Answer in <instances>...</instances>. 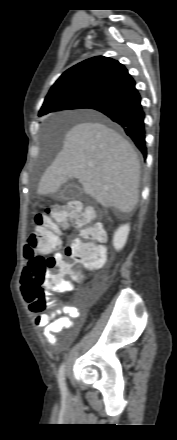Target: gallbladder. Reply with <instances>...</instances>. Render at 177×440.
Masks as SVG:
<instances>
[{
    "label": "gallbladder",
    "mask_w": 177,
    "mask_h": 440,
    "mask_svg": "<svg viewBox=\"0 0 177 440\" xmlns=\"http://www.w3.org/2000/svg\"><path fill=\"white\" fill-rule=\"evenodd\" d=\"M83 194L82 188L75 183L67 184L64 189L56 196H53L55 200H73L81 197Z\"/></svg>",
    "instance_id": "1"
}]
</instances>
